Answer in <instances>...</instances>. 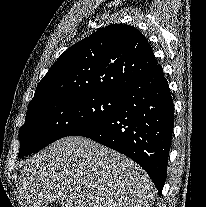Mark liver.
I'll return each instance as SVG.
<instances>
[{"label": "liver", "mask_w": 206, "mask_h": 207, "mask_svg": "<svg viewBox=\"0 0 206 207\" xmlns=\"http://www.w3.org/2000/svg\"><path fill=\"white\" fill-rule=\"evenodd\" d=\"M20 189L28 207H151L155 186L131 159L93 140L68 136L26 160Z\"/></svg>", "instance_id": "1"}]
</instances>
